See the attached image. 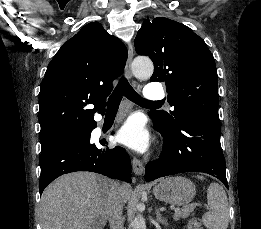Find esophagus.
Masks as SVG:
<instances>
[{
  "instance_id": "obj_1",
  "label": "esophagus",
  "mask_w": 261,
  "mask_h": 229,
  "mask_svg": "<svg viewBox=\"0 0 261 229\" xmlns=\"http://www.w3.org/2000/svg\"><path fill=\"white\" fill-rule=\"evenodd\" d=\"M132 60H133V47L129 43L128 44V58H127L126 65H125V75L128 79L133 78V74H132V70H131ZM132 167H133V171H134L135 175L143 174L144 165L142 164L141 160L138 159L137 157H133Z\"/></svg>"
}]
</instances>
